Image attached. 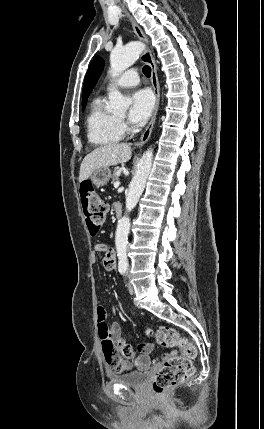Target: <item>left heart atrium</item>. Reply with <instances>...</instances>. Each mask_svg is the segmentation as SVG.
<instances>
[{"label": "left heart atrium", "instance_id": "left-heart-atrium-1", "mask_svg": "<svg viewBox=\"0 0 264 429\" xmlns=\"http://www.w3.org/2000/svg\"><path fill=\"white\" fill-rule=\"evenodd\" d=\"M154 107V98L150 91L142 89L131 97L129 120L136 125L144 123L151 115Z\"/></svg>", "mask_w": 264, "mask_h": 429}]
</instances>
